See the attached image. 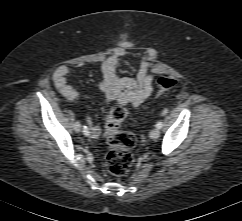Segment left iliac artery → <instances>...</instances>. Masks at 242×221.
Returning <instances> with one entry per match:
<instances>
[{
	"label": "left iliac artery",
	"instance_id": "1",
	"mask_svg": "<svg viewBox=\"0 0 242 221\" xmlns=\"http://www.w3.org/2000/svg\"><path fill=\"white\" fill-rule=\"evenodd\" d=\"M156 127L161 129L163 127V123L161 121L157 122Z\"/></svg>",
	"mask_w": 242,
	"mask_h": 221
}]
</instances>
